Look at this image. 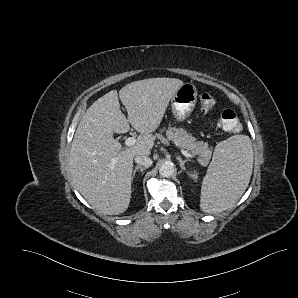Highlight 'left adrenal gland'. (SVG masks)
I'll list each match as a JSON object with an SVG mask.
<instances>
[{
  "instance_id": "a2214340",
  "label": "left adrenal gland",
  "mask_w": 298,
  "mask_h": 298,
  "mask_svg": "<svg viewBox=\"0 0 298 298\" xmlns=\"http://www.w3.org/2000/svg\"><path fill=\"white\" fill-rule=\"evenodd\" d=\"M176 159L179 161L180 163V168L181 170H185V163L190 161V159H185L183 160L180 156H177Z\"/></svg>"
}]
</instances>
